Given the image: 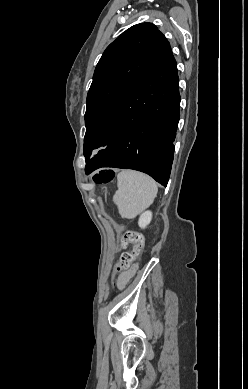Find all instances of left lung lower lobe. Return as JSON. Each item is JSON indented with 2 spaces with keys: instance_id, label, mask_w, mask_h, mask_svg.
I'll return each mask as SVG.
<instances>
[{
  "instance_id": "obj_1",
  "label": "left lung lower lobe",
  "mask_w": 248,
  "mask_h": 389,
  "mask_svg": "<svg viewBox=\"0 0 248 389\" xmlns=\"http://www.w3.org/2000/svg\"><path fill=\"white\" fill-rule=\"evenodd\" d=\"M177 63L169 47L100 121L106 149L86 162L97 168H128L167 186L180 118Z\"/></svg>"
}]
</instances>
